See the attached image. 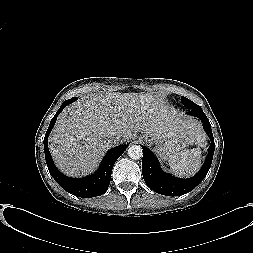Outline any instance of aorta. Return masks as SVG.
Listing matches in <instances>:
<instances>
[{"label":"aorta","mask_w":253,"mask_h":253,"mask_svg":"<svg viewBox=\"0 0 253 253\" xmlns=\"http://www.w3.org/2000/svg\"><path fill=\"white\" fill-rule=\"evenodd\" d=\"M127 153L131 159L137 160L143 156V149L139 145H132L128 148Z\"/></svg>","instance_id":"aorta-1"}]
</instances>
